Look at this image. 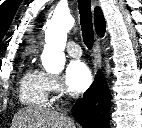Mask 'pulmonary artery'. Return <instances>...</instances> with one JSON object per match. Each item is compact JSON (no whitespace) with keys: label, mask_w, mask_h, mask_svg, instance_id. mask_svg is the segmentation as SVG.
Returning <instances> with one entry per match:
<instances>
[{"label":"pulmonary artery","mask_w":142,"mask_h":128,"mask_svg":"<svg viewBox=\"0 0 142 128\" xmlns=\"http://www.w3.org/2000/svg\"><path fill=\"white\" fill-rule=\"evenodd\" d=\"M66 51L72 57H80L82 54L80 46L72 41L67 44Z\"/></svg>","instance_id":"pulmonary-artery-1"}]
</instances>
